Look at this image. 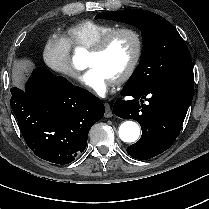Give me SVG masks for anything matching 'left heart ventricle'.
Instances as JSON below:
<instances>
[{
    "label": "left heart ventricle",
    "instance_id": "obj_1",
    "mask_svg": "<svg viewBox=\"0 0 209 209\" xmlns=\"http://www.w3.org/2000/svg\"><path fill=\"white\" fill-rule=\"evenodd\" d=\"M135 48V40L130 34H118L104 53L100 55L88 53L87 66L98 67L108 77L117 80L132 60Z\"/></svg>",
    "mask_w": 209,
    "mask_h": 209
}]
</instances>
